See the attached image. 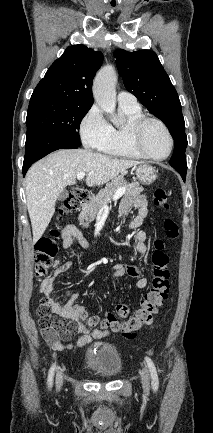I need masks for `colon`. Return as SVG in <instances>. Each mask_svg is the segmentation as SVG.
<instances>
[{
  "instance_id": "5ec220e1",
  "label": "colon",
  "mask_w": 213,
  "mask_h": 433,
  "mask_svg": "<svg viewBox=\"0 0 213 433\" xmlns=\"http://www.w3.org/2000/svg\"><path fill=\"white\" fill-rule=\"evenodd\" d=\"M89 198V192L84 189H72L64 202L65 211L78 210L83 203ZM153 205L167 212L170 205L167 193L163 189H156L153 196ZM163 228L169 239H176L179 236V226L171 218H166L163 222ZM59 232L57 229L51 230L49 236L41 238L36 244V273L43 275L47 268L52 264L58 247L57 239ZM154 250L151 254L153 265V278L150 290L144 295L140 302L139 308L135 314L126 321H119L118 318H126L129 313L128 306L119 304L116 307V315L109 313L105 317L91 315L81 307L74 308L79 320L91 329L108 330L112 333L134 338L138 331L144 326L152 325L154 316L164 305L169 292V256L164 250V243L161 239L156 238L153 243ZM40 324L43 329H54L62 338H69L73 334V324H67L62 321L53 319L49 313L44 301L38 308Z\"/></svg>"
}]
</instances>
